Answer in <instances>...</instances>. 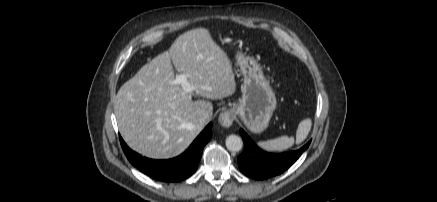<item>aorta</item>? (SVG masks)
I'll return each mask as SVG.
<instances>
[{"label": "aorta", "mask_w": 437, "mask_h": 202, "mask_svg": "<svg viewBox=\"0 0 437 202\" xmlns=\"http://www.w3.org/2000/svg\"><path fill=\"white\" fill-rule=\"evenodd\" d=\"M226 147L228 150L232 152H238L242 149L243 141L242 139L237 135H229L226 138Z\"/></svg>", "instance_id": "762f6f07"}]
</instances>
